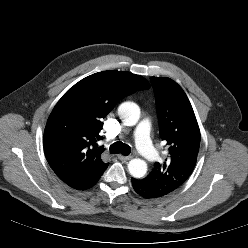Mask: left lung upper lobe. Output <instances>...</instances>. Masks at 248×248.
Instances as JSON below:
<instances>
[{
  "label": "left lung upper lobe",
  "mask_w": 248,
  "mask_h": 248,
  "mask_svg": "<svg viewBox=\"0 0 248 248\" xmlns=\"http://www.w3.org/2000/svg\"><path fill=\"white\" fill-rule=\"evenodd\" d=\"M156 98L160 136L169 146L164 163H155L142 179L162 196L179 188L191 175L200 146V130L192 106L172 79L151 77Z\"/></svg>",
  "instance_id": "obj_1"
}]
</instances>
